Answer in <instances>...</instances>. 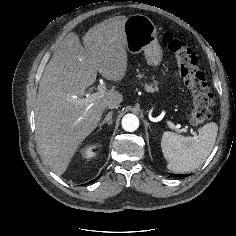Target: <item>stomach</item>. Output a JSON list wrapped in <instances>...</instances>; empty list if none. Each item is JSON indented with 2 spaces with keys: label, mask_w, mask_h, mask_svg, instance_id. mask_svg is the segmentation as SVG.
Wrapping results in <instances>:
<instances>
[{
  "label": "stomach",
  "mask_w": 236,
  "mask_h": 236,
  "mask_svg": "<svg viewBox=\"0 0 236 236\" xmlns=\"http://www.w3.org/2000/svg\"><path fill=\"white\" fill-rule=\"evenodd\" d=\"M124 31L127 38V50L133 54L143 51L147 64L158 67L163 54L153 21L144 15H131L125 21Z\"/></svg>",
  "instance_id": "obj_1"
}]
</instances>
